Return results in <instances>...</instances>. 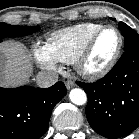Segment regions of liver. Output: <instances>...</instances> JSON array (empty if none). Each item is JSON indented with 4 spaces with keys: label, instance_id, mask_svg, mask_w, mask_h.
Listing matches in <instances>:
<instances>
[{
    "label": "liver",
    "instance_id": "obj_1",
    "mask_svg": "<svg viewBox=\"0 0 139 139\" xmlns=\"http://www.w3.org/2000/svg\"><path fill=\"white\" fill-rule=\"evenodd\" d=\"M32 73L31 59L26 47L18 42L0 44V86L16 87L28 82Z\"/></svg>",
    "mask_w": 139,
    "mask_h": 139
}]
</instances>
